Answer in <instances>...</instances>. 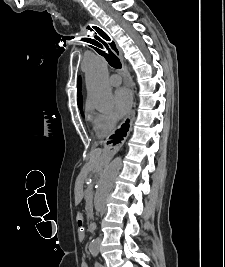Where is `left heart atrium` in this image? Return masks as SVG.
<instances>
[{"instance_id":"left-heart-atrium-1","label":"left heart atrium","mask_w":225,"mask_h":267,"mask_svg":"<svg viewBox=\"0 0 225 267\" xmlns=\"http://www.w3.org/2000/svg\"><path fill=\"white\" fill-rule=\"evenodd\" d=\"M114 109L117 116H124L130 109L132 97L126 88H119L114 93Z\"/></svg>"}]
</instances>
